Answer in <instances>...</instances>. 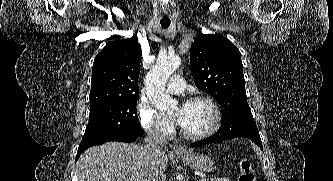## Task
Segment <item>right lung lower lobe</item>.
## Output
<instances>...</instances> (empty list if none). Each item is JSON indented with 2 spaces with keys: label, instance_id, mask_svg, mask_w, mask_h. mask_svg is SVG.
<instances>
[{
  "label": "right lung lower lobe",
  "instance_id": "1",
  "mask_svg": "<svg viewBox=\"0 0 333 181\" xmlns=\"http://www.w3.org/2000/svg\"><path fill=\"white\" fill-rule=\"evenodd\" d=\"M139 136H131V137H120V138H109V139H103V140H96L91 143H85L80 144L77 152V158L83 153L87 148L93 146V145H99L103 144L105 142L109 141H122V142H133L135 141Z\"/></svg>",
  "mask_w": 333,
  "mask_h": 181
}]
</instances>
